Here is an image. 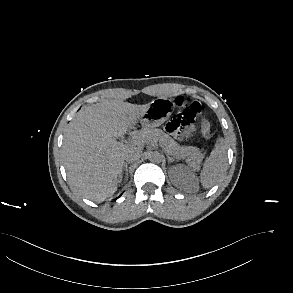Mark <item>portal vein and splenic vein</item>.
<instances>
[{
  "instance_id": "portal-vein-and-splenic-vein-1",
  "label": "portal vein and splenic vein",
  "mask_w": 293,
  "mask_h": 293,
  "mask_svg": "<svg viewBox=\"0 0 293 293\" xmlns=\"http://www.w3.org/2000/svg\"><path fill=\"white\" fill-rule=\"evenodd\" d=\"M145 138H146L145 135H138V134H135V135L131 138V142H132V143H140V142H143Z\"/></svg>"
}]
</instances>
